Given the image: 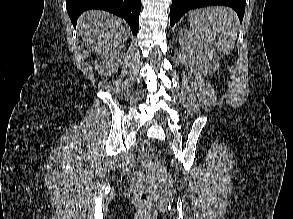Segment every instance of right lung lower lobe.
<instances>
[{
    "mask_svg": "<svg viewBox=\"0 0 293 219\" xmlns=\"http://www.w3.org/2000/svg\"><path fill=\"white\" fill-rule=\"evenodd\" d=\"M66 6L74 27L84 11L101 9L124 18L134 35L138 32L141 0H66Z\"/></svg>",
    "mask_w": 293,
    "mask_h": 219,
    "instance_id": "right-lung-lower-lobe-1",
    "label": "right lung lower lobe"
}]
</instances>
